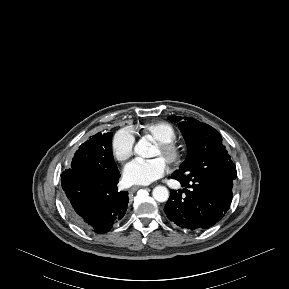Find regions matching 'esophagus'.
Masks as SVG:
<instances>
[{"instance_id": "34e87169", "label": "esophagus", "mask_w": 289, "mask_h": 289, "mask_svg": "<svg viewBox=\"0 0 289 289\" xmlns=\"http://www.w3.org/2000/svg\"><path fill=\"white\" fill-rule=\"evenodd\" d=\"M142 188L141 186H133L130 188V192H135L137 191L138 189Z\"/></svg>"}]
</instances>
